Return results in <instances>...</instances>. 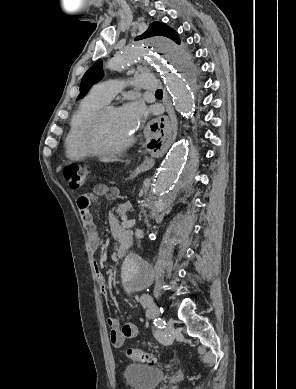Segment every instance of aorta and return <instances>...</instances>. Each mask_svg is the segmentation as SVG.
Segmentation results:
<instances>
[{"instance_id": "obj_1", "label": "aorta", "mask_w": 296, "mask_h": 389, "mask_svg": "<svg viewBox=\"0 0 296 389\" xmlns=\"http://www.w3.org/2000/svg\"><path fill=\"white\" fill-rule=\"evenodd\" d=\"M133 62H143L144 66H156L173 97L176 110L185 117H191L195 110V99L199 90L195 86L199 70L193 67L189 56L174 42L165 38H152L126 46L108 61L107 68L121 72ZM198 149L188 148L185 140L173 145L162 163L148 197L150 215L162 213L171 203L176 189H184L190 184L185 178L191 166L196 163ZM154 270L150 263L137 253L130 252L123 260L121 278L130 290L148 288L153 280Z\"/></svg>"}]
</instances>
